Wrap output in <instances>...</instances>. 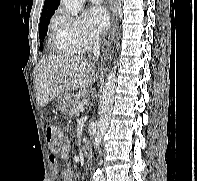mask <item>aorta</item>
I'll return each instance as SVG.
<instances>
[{
  "instance_id": "1",
  "label": "aorta",
  "mask_w": 197,
  "mask_h": 181,
  "mask_svg": "<svg viewBox=\"0 0 197 181\" xmlns=\"http://www.w3.org/2000/svg\"><path fill=\"white\" fill-rule=\"evenodd\" d=\"M85 0H61V4L65 7L66 11L76 16L82 10ZM116 67H114L106 80L104 90L101 96V114L98 121V128L95 134L94 145L96 149H99L103 137L108 129L111 113L113 109L115 89H116ZM93 181H104L103 172L100 168H97L93 175Z\"/></svg>"
}]
</instances>
